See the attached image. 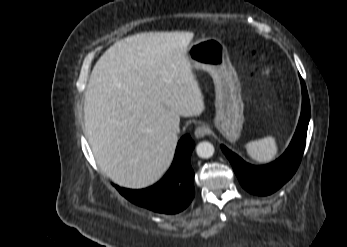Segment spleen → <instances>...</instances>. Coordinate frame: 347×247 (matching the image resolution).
<instances>
[{
  "label": "spleen",
  "mask_w": 347,
  "mask_h": 247,
  "mask_svg": "<svg viewBox=\"0 0 347 247\" xmlns=\"http://www.w3.org/2000/svg\"><path fill=\"white\" fill-rule=\"evenodd\" d=\"M246 148L249 156L259 163L272 161L277 156L279 149L277 139L272 136L251 141Z\"/></svg>",
  "instance_id": "obj_1"
}]
</instances>
